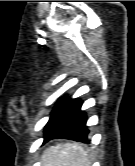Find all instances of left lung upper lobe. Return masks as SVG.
Listing matches in <instances>:
<instances>
[{"mask_svg":"<svg viewBox=\"0 0 135 166\" xmlns=\"http://www.w3.org/2000/svg\"><path fill=\"white\" fill-rule=\"evenodd\" d=\"M65 97H66V96L62 97L61 99H59V101L63 100ZM59 101H58V102H59ZM58 102H57V103H58Z\"/></svg>","mask_w":135,"mask_h":166,"instance_id":"obj_1","label":"left lung upper lobe"}]
</instances>
